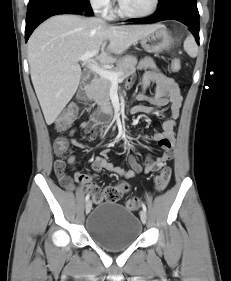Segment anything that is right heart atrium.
Listing matches in <instances>:
<instances>
[{
  "instance_id": "right-heart-atrium-1",
  "label": "right heart atrium",
  "mask_w": 231,
  "mask_h": 281,
  "mask_svg": "<svg viewBox=\"0 0 231 281\" xmlns=\"http://www.w3.org/2000/svg\"><path fill=\"white\" fill-rule=\"evenodd\" d=\"M89 2L93 8L102 13H108L113 5V0H89Z\"/></svg>"
}]
</instances>
